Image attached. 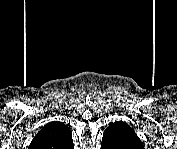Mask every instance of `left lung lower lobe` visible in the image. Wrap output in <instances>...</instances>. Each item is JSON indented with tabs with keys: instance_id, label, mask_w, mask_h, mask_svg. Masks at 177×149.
I'll use <instances>...</instances> for the list:
<instances>
[{
	"instance_id": "left-lung-lower-lobe-1",
	"label": "left lung lower lobe",
	"mask_w": 177,
	"mask_h": 149,
	"mask_svg": "<svg viewBox=\"0 0 177 149\" xmlns=\"http://www.w3.org/2000/svg\"><path fill=\"white\" fill-rule=\"evenodd\" d=\"M109 142V141H108ZM111 143V142H110ZM114 148L115 146L114 145H107V144H104V142L102 143V148Z\"/></svg>"
}]
</instances>
